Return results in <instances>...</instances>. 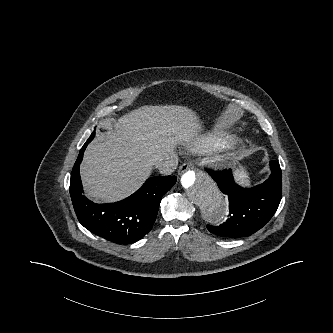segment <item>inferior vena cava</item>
Here are the masks:
<instances>
[{
	"mask_svg": "<svg viewBox=\"0 0 333 333\" xmlns=\"http://www.w3.org/2000/svg\"><path fill=\"white\" fill-rule=\"evenodd\" d=\"M178 165V160L175 157H168L162 161L155 163V167L164 175H170L175 171Z\"/></svg>",
	"mask_w": 333,
	"mask_h": 333,
	"instance_id": "inferior-vena-cava-1",
	"label": "inferior vena cava"
}]
</instances>
